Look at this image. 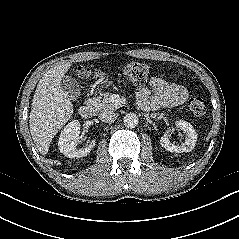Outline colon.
I'll return each mask as SVG.
<instances>
[{
	"instance_id": "5ec220e1",
	"label": "colon",
	"mask_w": 239,
	"mask_h": 239,
	"mask_svg": "<svg viewBox=\"0 0 239 239\" xmlns=\"http://www.w3.org/2000/svg\"><path fill=\"white\" fill-rule=\"evenodd\" d=\"M151 67L146 62H131L128 63L123 70L124 76L128 81L135 85H142L146 82L150 75ZM78 76L81 78H97L99 73L88 67H80L77 70ZM189 110L196 116H201L205 113V101L201 95L192 94L187 99Z\"/></svg>"
}]
</instances>
